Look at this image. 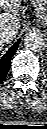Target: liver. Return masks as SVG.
Instances as JSON below:
<instances>
[{
  "mask_svg": "<svg viewBox=\"0 0 47 129\" xmlns=\"http://www.w3.org/2000/svg\"><path fill=\"white\" fill-rule=\"evenodd\" d=\"M0 7L5 10L0 14V31L8 29L16 34L20 29L19 11L21 8V0H0ZM11 42V41H10ZM4 42L0 40V48L3 47Z\"/></svg>",
  "mask_w": 47,
  "mask_h": 129,
  "instance_id": "1",
  "label": "liver"
}]
</instances>
